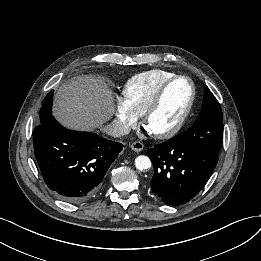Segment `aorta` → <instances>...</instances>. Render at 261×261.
Returning <instances> with one entry per match:
<instances>
[{"instance_id":"1","label":"aorta","mask_w":261,"mask_h":261,"mask_svg":"<svg viewBox=\"0 0 261 261\" xmlns=\"http://www.w3.org/2000/svg\"><path fill=\"white\" fill-rule=\"evenodd\" d=\"M135 166L140 171L150 169L151 160L147 156L140 155L135 159Z\"/></svg>"}]
</instances>
